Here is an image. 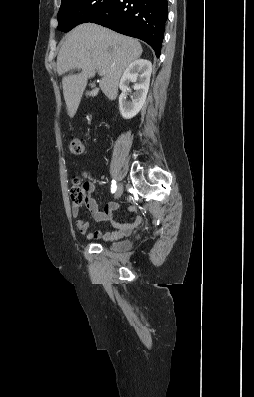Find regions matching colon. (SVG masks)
Instances as JSON below:
<instances>
[{"mask_svg": "<svg viewBox=\"0 0 254 397\" xmlns=\"http://www.w3.org/2000/svg\"><path fill=\"white\" fill-rule=\"evenodd\" d=\"M69 149L73 155H81L84 152V144L83 141L77 137L72 136L69 140ZM89 183L87 181H82L81 179L75 180V185L71 191L72 200L76 205L87 204L89 196H88V188Z\"/></svg>", "mask_w": 254, "mask_h": 397, "instance_id": "1", "label": "colon"}]
</instances>
